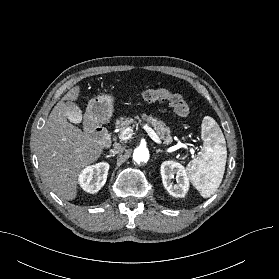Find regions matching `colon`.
Segmentation results:
<instances>
[{"label": "colon", "mask_w": 279, "mask_h": 279, "mask_svg": "<svg viewBox=\"0 0 279 279\" xmlns=\"http://www.w3.org/2000/svg\"><path fill=\"white\" fill-rule=\"evenodd\" d=\"M141 96L146 102L168 101L180 117L189 116V105L178 93H173L165 88H155L143 91Z\"/></svg>", "instance_id": "5ec220e1"}]
</instances>
